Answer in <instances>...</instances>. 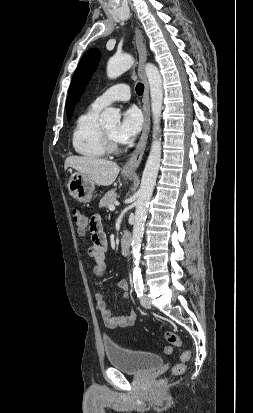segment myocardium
<instances>
[{"mask_svg":"<svg viewBox=\"0 0 253 413\" xmlns=\"http://www.w3.org/2000/svg\"><path fill=\"white\" fill-rule=\"evenodd\" d=\"M101 133L106 152H118L120 147L117 140L104 128V126H101Z\"/></svg>","mask_w":253,"mask_h":413,"instance_id":"myocardium-1","label":"myocardium"}]
</instances>
